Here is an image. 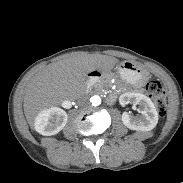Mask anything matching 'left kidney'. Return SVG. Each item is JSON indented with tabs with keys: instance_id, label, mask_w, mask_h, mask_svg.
<instances>
[{
	"instance_id": "obj_1",
	"label": "left kidney",
	"mask_w": 183,
	"mask_h": 183,
	"mask_svg": "<svg viewBox=\"0 0 183 183\" xmlns=\"http://www.w3.org/2000/svg\"><path fill=\"white\" fill-rule=\"evenodd\" d=\"M119 103L122 106L128 103L136 104L141 114L134 117L131 113L123 112L122 122L127 128L136 131H150L157 125L158 112L149 97L140 93L127 92L119 97Z\"/></svg>"
}]
</instances>
